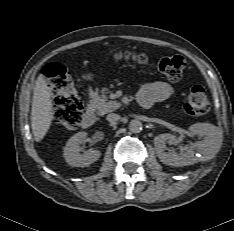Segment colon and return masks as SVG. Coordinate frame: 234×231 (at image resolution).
<instances>
[{"instance_id": "5ec220e1", "label": "colon", "mask_w": 234, "mask_h": 231, "mask_svg": "<svg viewBox=\"0 0 234 231\" xmlns=\"http://www.w3.org/2000/svg\"><path fill=\"white\" fill-rule=\"evenodd\" d=\"M117 61H130L146 64L147 57L134 52H117L113 55ZM159 71L170 81H179L186 67L185 59L180 55L164 57L158 61ZM48 86L55 96L53 111L55 123L66 130L77 128L82 121L83 106L67 69L59 63H49L44 67ZM185 111L193 116L205 114L209 110V100L201 86L191 88L184 104Z\"/></svg>"}]
</instances>
